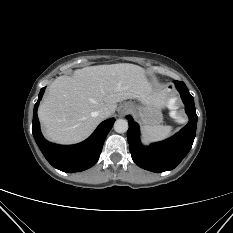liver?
<instances>
[{
  "label": "liver",
  "mask_w": 233,
  "mask_h": 233,
  "mask_svg": "<svg viewBox=\"0 0 233 233\" xmlns=\"http://www.w3.org/2000/svg\"><path fill=\"white\" fill-rule=\"evenodd\" d=\"M127 99L149 101L162 107L163 93L155 92L143 68L119 63L78 69L73 76H60L49 86L38 109L44 136L60 144L86 139L102 118L98 111L113 114L117 103Z\"/></svg>",
  "instance_id": "6515ba94"
}]
</instances>
